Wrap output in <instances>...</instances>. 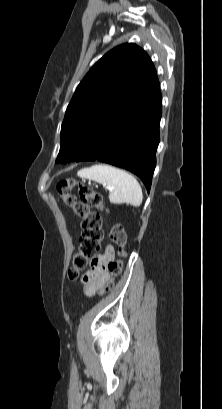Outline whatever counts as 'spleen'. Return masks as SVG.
I'll return each instance as SVG.
<instances>
[{
  "mask_svg": "<svg viewBox=\"0 0 222 409\" xmlns=\"http://www.w3.org/2000/svg\"><path fill=\"white\" fill-rule=\"evenodd\" d=\"M77 175L111 187L109 200L113 204L127 203L139 207L143 200L141 186L128 172L106 164L83 168Z\"/></svg>",
  "mask_w": 222,
  "mask_h": 409,
  "instance_id": "obj_1",
  "label": "spleen"
}]
</instances>
